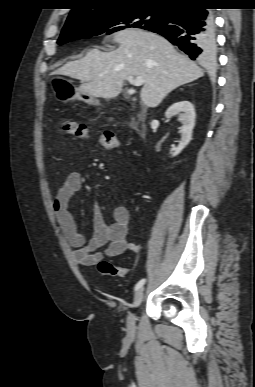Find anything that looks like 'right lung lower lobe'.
Returning a JSON list of instances; mask_svg holds the SVG:
<instances>
[{
  "label": "right lung lower lobe",
  "mask_w": 255,
  "mask_h": 387,
  "mask_svg": "<svg viewBox=\"0 0 255 387\" xmlns=\"http://www.w3.org/2000/svg\"><path fill=\"white\" fill-rule=\"evenodd\" d=\"M147 30L167 38L192 60L210 64L216 58L215 24L212 12L202 2L167 8L165 21Z\"/></svg>",
  "instance_id": "right-lung-lower-lobe-1"
}]
</instances>
